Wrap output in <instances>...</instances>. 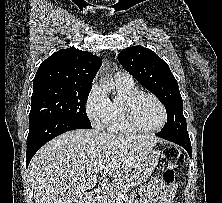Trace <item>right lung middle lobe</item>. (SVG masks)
Instances as JSON below:
<instances>
[{
  "instance_id": "1",
  "label": "right lung middle lobe",
  "mask_w": 222,
  "mask_h": 203,
  "mask_svg": "<svg viewBox=\"0 0 222 203\" xmlns=\"http://www.w3.org/2000/svg\"><path fill=\"white\" fill-rule=\"evenodd\" d=\"M92 87L53 86L33 91L30 124L44 119L90 123L85 104Z\"/></svg>"
}]
</instances>
